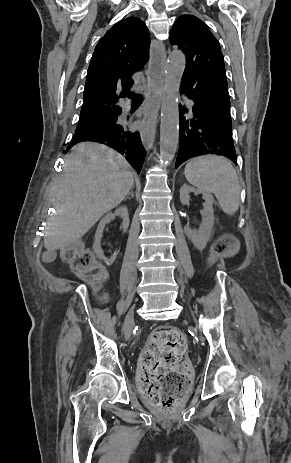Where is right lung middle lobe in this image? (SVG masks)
I'll return each mask as SVG.
<instances>
[{"instance_id": "dd1d6c3e", "label": "right lung middle lobe", "mask_w": 291, "mask_h": 463, "mask_svg": "<svg viewBox=\"0 0 291 463\" xmlns=\"http://www.w3.org/2000/svg\"><path fill=\"white\" fill-rule=\"evenodd\" d=\"M110 117H113V114H107V115H104V116H101L95 119L80 120L76 130H82L85 128H89L91 126L96 125L98 122L104 119L110 118Z\"/></svg>"}]
</instances>
